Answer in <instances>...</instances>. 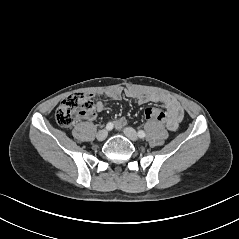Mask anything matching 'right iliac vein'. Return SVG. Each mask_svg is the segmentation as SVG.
<instances>
[{
    "mask_svg": "<svg viewBox=\"0 0 239 239\" xmlns=\"http://www.w3.org/2000/svg\"><path fill=\"white\" fill-rule=\"evenodd\" d=\"M107 135H108V131L103 129L97 133L96 137L98 141H104L107 138Z\"/></svg>",
    "mask_w": 239,
    "mask_h": 239,
    "instance_id": "1",
    "label": "right iliac vein"
}]
</instances>
